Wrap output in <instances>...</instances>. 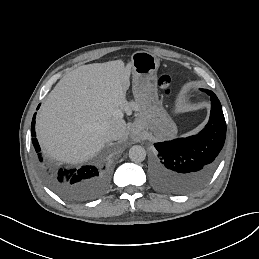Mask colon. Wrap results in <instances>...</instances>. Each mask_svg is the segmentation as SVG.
<instances>
[{"label":"colon","mask_w":259,"mask_h":259,"mask_svg":"<svg viewBox=\"0 0 259 259\" xmlns=\"http://www.w3.org/2000/svg\"><path fill=\"white\" fill-rule=\"evenodd\" d=\"M158 85L165 95H171L173 92V79L171 76L163 74L158 79Z\"/></svg>","instance_id":"colon-1"}]
</instances>
